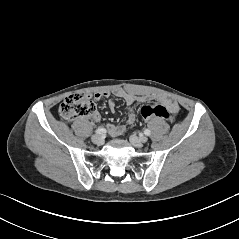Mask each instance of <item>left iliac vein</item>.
<instances>
[{"instance_id":"left-iliac-vein-1","label":"left iliac vein","mask_w":239,"mask_h":239,"mask_svg":"<svg viewBox=\"0 0 239 239\" xmlns=\"http://www.w3.org/2000/svg\"><path fill=\"white\" fill-rule=\"evenodd\" d=\"M146 141L147 137H137L136 135L130 136V143L137 148H141Z\"/></svg>"}]
</instances>
